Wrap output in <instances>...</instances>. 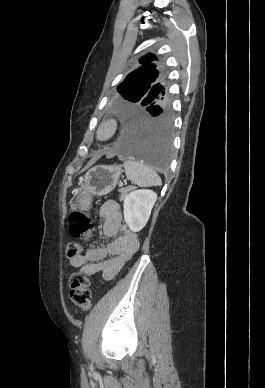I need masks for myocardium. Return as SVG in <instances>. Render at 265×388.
I'll use <instances>...</instances> for the list:
<instances>
[{
	"mask_svg": "<svg viewBox=\"0 0 265 388\" xmlns=\"http://www.w3.org/2000/svg\"><path fill=\"white\" fill-rule=\"evenodd\" d=\"M116 132V122L113 119L104 121L99 128V135L101 140H108Z\"/></svg>",
	"mask_w": 265,
	"mask_h": 388,
	"instance_id": "f54148a6",
	"label": "myocardium"
}]
</instances>
